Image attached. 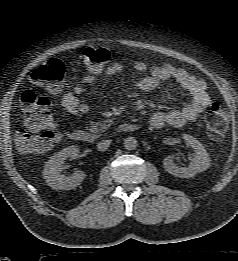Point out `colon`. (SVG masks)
Wrapping results in <instances>:
<instances>
[{
  "mask_svg": "<svg viewBox=\"0 0 238 261\" xmlns=\"http://www.w3.org/2000/svg\"><path fill=\"white\" fill-rule=\"evenodd\" d=\"M111 58L105 48H88L81 59L93 72L99 71ZM65 65L51 58L33 71V83L57 91L65 76ZM24 115V127L17 130L15 143L18 150L25 154H37L49 150L59 140L60 133L55 127L49 100L37 94L33 89L26 90L21 97ZM207 134L213 140H220L226 134L229 124V113L219 102L210 104L204 117Z\"/></svg>",
  "mask_w": 238,
  "mask_h": 261,
  "instance_id": "5ec220e1",
  "label": "colon"
}]
</instances>
